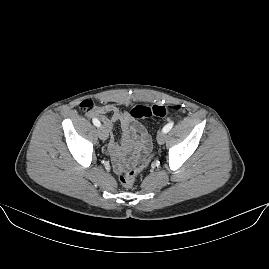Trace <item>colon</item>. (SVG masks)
Wrapping results in <instances>:
<instances>
[{
	"instance_id": "1",
	"label": "colon",
	"mask_w": 269,
	"mask_h": 269,
	"mask_svg": "<svg viewBox=\"0 0 269 269\" xmlns=\"http://www.w3.org/2000/svg\"><path fill=\"white\" fill-rule=\"evenodd\" d=\"M92 102L85 100L81 103L82 109H91ZM183 113V108L180 105H161L155 104L152 106L136 105L130 110V115L134 119H144L149 117H159L167 119L169 117L176 118ZM150 156L143 155L138 167H131L123 171L120 176V183L123 187L130 188L133 186L138 174L148 166Z\"/></svg>"
}]
</instances>
